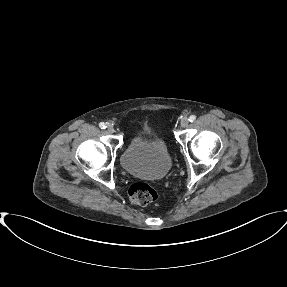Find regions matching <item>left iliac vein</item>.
I'll list each match as a JSON object with an SVG mask.
<instances>
[{"instance_id": "obj_1", "label": "left iliac vein", "mask_w": 287, "mask_h": 287, "mask_svg": "<svg viewBox=\"0 0 287 287\" xmlns=\"http://www.w3.org/2000/svg\"><path fill=\"white\" fill-rule=\"evenodd\" d=\"M188 124H189V119H188V118H183V119L181 120V126H182L183 128H186V127L188 126Z\"/></svg>"}]
</instances>
